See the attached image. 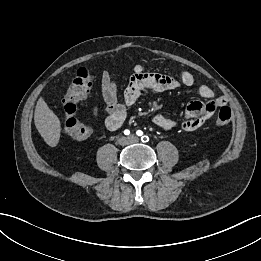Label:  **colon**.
I'll return each instance as SVG.
<instances>
[{
	"instance_id": "1",
	"label": "colon",
	"mask_w": 261,
	"mask_h": 261,
	"mask_svg": "<svg viewBox=\"0 0 261 261\" xmlns=\"http://www.w3.org/2000/svg\"><path fill=\"white\" fill-rule=\"evenodd\" d=\"M92 88V80L89 71L80 67L75 73L70 89L63 99V110L65 114L64 131L75 140H84L89 137L91 129L80 122L76 117L78 95L81 92H88ZM232 111L228 106L219 109L216 126H224L230 123Z\"/></svg>"
}]
</instances>
